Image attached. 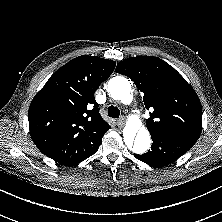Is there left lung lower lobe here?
<instances>
[{"label":"left lung lower lobe","instance_id":"1","mask_svg":"<svg viewBox=\"0 0 222 222\" xmlns=\"http://www.w3.org/2000/svg\"><path fill=\"white\" fill-rule=\"evenodd\" d=\"M153 144L143 155L134 154L142 162L153 167L168 165L186 153L197 139L170 132H150Z\"/></svg>","mask_w":222,"mask_h":222}]
</instances>
